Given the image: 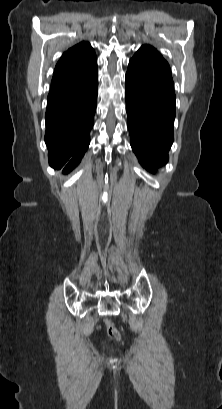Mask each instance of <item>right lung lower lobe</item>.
<instances>
[{
  "mask_svg": "<svg viewBox=\"0 0 222 409\" xmlns=\"http://www.w3.org/2000/svg\"><path fill=\"white\" fill-rule=\"evenodd\" d=\"M79 78L83 81L79 90L48 95L45 142L49 164L55 169L64 167V173L76 167L86 152L96 110L98 71Z\"/></svg>",
  "mask_w": 222,
  "mask_h": 409,
  "instance_id": "1",
  "label": "right lung lower lobe"
}]
</instances>
